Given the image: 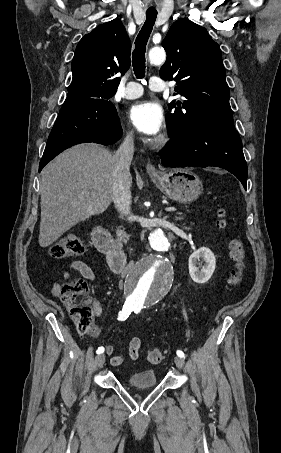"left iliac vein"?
<instances>
[{"label": "left iliac vein", "mask_w": 281, "mask_h": 453, "mask_svg": "<svg viewBox=\"0 0 281 453\" xmlns=\"http://www.w3.org/2000/svg\"><path fill=\"white\" fill-rule=\"evenodd\" d=\"M174 360L176 362V367H180L181 369L184 367V359L183 357H174Z\"/></svg>", "instance_id": "obj_1"}]
</instances>
